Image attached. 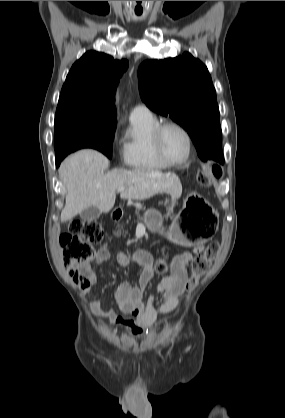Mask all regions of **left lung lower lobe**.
I'll list each match as a JSON object with an SVG mask.
<instances>
[{"label": "left lung lower lobe", "instance_id": "0a47b994", "mask_svg": "<svg viewBox=\"0 0 285 418\" xmlns=\"http://www.w3.org/2000/svg\"><path fill=\"white\" fill-rule=\"evenodd\" d=\"M222 156H223V153H221V152H216V154H212V158H214V159L221 158Z\"/></svg>", "mask_w": 285, "mask_h": 418}]
</instances>
